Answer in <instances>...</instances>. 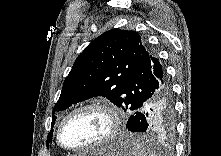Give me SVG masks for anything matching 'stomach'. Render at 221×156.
<instances>
[{
    "mask_svg": "<svg viewBox=\"0 0 221 156\" xmlns=\"http://www.w3.org/2000/svg\"><path fill=\"white\" fill-rule=\"evenodd\" d=\"M89 156H132L127 141H113L108 145L93 149Z\"/></svg>",
    "mask_w": 221,
    "mask_h": 156,
    "instance_id": "1",
    "label": "stomach"
}]
</instances>
